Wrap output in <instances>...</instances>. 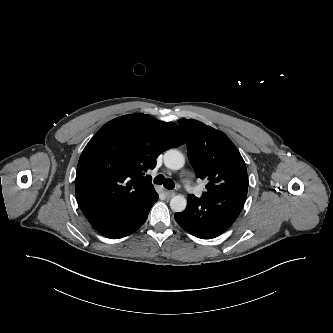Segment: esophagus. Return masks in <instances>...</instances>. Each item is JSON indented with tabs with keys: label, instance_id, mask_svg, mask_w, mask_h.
Listing matches in <instances>:
<instances>
[{
	"label": "esophagus",
	"instance_id": "1",
	"mask_svg": "<svg viewBox=\"0 0 333 333\" xmlns=\"http://www.w3.org/2000/svg\"><path fill=\"white\" fill-rule=\"evenodd\" d=\"M176 195V192L175 191H173V190H167L166 191V196H167V198H172L173 196H175Z\"/></svg>",
	"mask_w": 333,
	"mask_h": 333
}]
</instances>
